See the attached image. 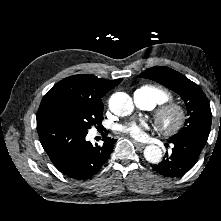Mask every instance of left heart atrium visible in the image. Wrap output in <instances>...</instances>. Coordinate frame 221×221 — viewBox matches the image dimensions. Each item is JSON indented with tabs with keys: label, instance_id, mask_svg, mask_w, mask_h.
<instances>
[{
	"label": "left heart atrium",
	"instance_id": "39dd6f15",
	"mask_svg": "<svg viewBox=\"0 0 221 221\" xmlns=\"http://www.w3.org/2000/svg\"><path fill=\"white\" fill-rule=\"evenodd\" d=\"M146 124L143 122H127L121 124L117 127L120 133L128 135L132 138H142L144 136V130L146 129Z\"/></svg>",
	"mask_w": 221,
	"mask_h": 221
}]
</instances>
